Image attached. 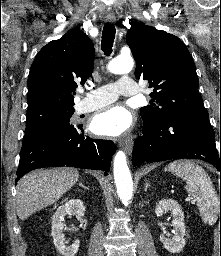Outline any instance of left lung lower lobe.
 I'll return each instance as SVG.
<instances>
[{
  "label": "left lung lower lobe",
  "instance_id": "0a47b994",
  "mask_svg": "<svg viewBox=\"0 0 221 256\" xmlns=\"http://www.w3.org/2000/svg\"><path fill=\"white\" fill-rule=\"evenodd\" d=\"M142 135L136 139L133 164L172 159H201L214 165L221 174V149L207 114L176 113L160 123L143 121Z\"/></svg>",
  "mask_w": 221,
  "mask_h": 256
}]
</instances>
